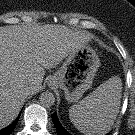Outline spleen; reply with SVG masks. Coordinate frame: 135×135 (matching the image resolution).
<instances>
[{
  "label": "spleen",
  "mask_w": 135,
  "mask_h": 135,
  "mask_svg": "<svg viewBox=\"0 0 135 135\" xmlns=\"http://www.w3.org/2000/svg\"><path fill=\"white\" fill-rule=\"evenodd\" d=\"M121 92V79L112 76L70 107V121L84 135H105L119 113Z\"/></svg>",
  "instance_id": "obj_1"
}]
</instances>
